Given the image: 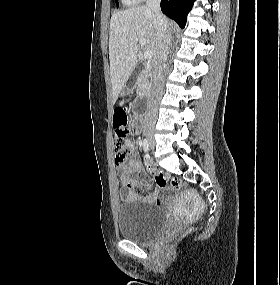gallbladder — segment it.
<instances>
[{"label":"gallbladder","mask_w":280,"mask_h":285,"mask_svg":"<svg viewBox=\"0 0 280 285\" xmlns=\"http://www.w3.org/2000/svg\"><path fill=\"white\" fill-rule=\"evenodd\" d=\"M124 103V100L120 103V105H122Z\"/></svg>","instance_id":"gallbladder-1"}]
</instances>
